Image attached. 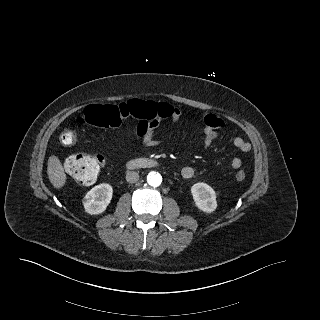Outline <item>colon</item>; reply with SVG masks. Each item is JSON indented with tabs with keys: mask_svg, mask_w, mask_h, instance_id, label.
Returning <instances> with one entry per match:
<instances>
[{
	"mask_svg": "<svg viewBox=\"0 0 320 320\" xmlns=\"http://www.w3.org/2000/svg\"><path fill=\"white\" fill-rule=\"evenodd\" d=\"M169 113L170 107L167 104L132 100L121 105H89L78 121L83 125L113 128L118 127L128 116L136 117L139 121L157 123ZM61 142L64 145L74 144L76 142L75 130L65 129L61 135ZM103 163L104 159L99 155L73 154L66 160V170L77 182L90 184L97 178ZM235 177L238 181H242L246 178V174L241 170L236 173Z\"/></svg>",
	"mask_w": 320,
	"mask_h": 320,
	"instance_id": "5ec220e1",
	"label": "colon"
}]
</instances>
